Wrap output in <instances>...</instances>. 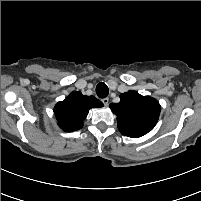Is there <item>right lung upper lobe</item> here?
Instances as JSON below:
<instances>
[{
    "label": "right lung upper lobe",
    "mask_w": 201,
    "mask_h": 201,
    "mask_svg": "<svg viewBox=\"0 0 201 201\" xmlns=\"http://www.w3.org/2000/svg\"><path fill=\"white\" fill-rule=\"evenodd\" d=\"M103 103L94 96H85L74 91L54 108L58 125L64 131L72 132L82 128L83 120L92 108L102 107Z\"/></svg>",
    "instance_id": "right-lung-upper-lobe-1"
}]
</instances>
